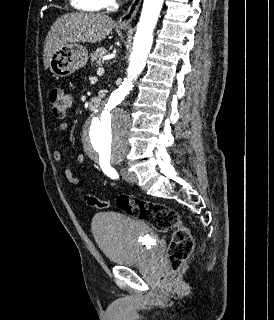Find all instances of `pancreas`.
<instances>
[{
  "instance_id": "cf45deb5",
  "label": "pancreas",
  "mask_w": 274,
  "mask_h": 320,
  "mask_svg": "<svg viewBox=\"0 0 274 320\" xmlns=\"http://www.w3.org/2000/svg\"><path fill=\"white\" fill-rule=\"evenodd\" d=\"M106 52L105 48H97L96 52L90 54L91 64H95L96 68H101L103 64L102 58H104Z\"/></svg>"
}]
</instances>
